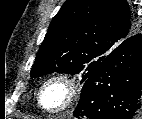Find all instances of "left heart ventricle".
I'll return each instance as SVG.
<instances>
[{"mask_svg": "<svg viewBox=\"0 0 142 119\" xmlns=\"http://www.w3.org/2000/svg\"><path fill=\"white\" fill-rule=\"evenodd\" d=\"M65 92L60 85H53L44 94V103L47 106H57L64 99Z\"/></svg>", "mask_w": 142, "mask_h": 119, "instance_id": "obj_1", "label": "left heart ventricle"}]
</instances>
